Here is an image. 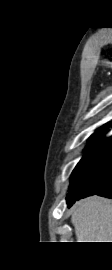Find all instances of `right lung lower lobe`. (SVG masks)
<instances>
[{
    "instance_id": "obj_1",
    "label": "right lung lower lobe",
    "mask_w": 112,
    "mask_h": 270,
    "mask_svg": "<svg viewBox=\"0 0 112 270\" xmlns=\"http://www.w3.org/2000/svg\"><path fill=\"white\" fill-rule=\"evenodd\" d=\"M82 185L85 193L75 200L67 201L68 207H71L76 200L95 194L112 198V146L102 162L91 173L83 177Z\"/></svg>"
}]
</instances>
